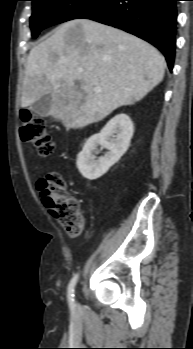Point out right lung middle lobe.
I'll return each mask as SVG.
<instances>
[{
    "instance_id": "right-lung-middle-lobe-1",
    "label": "right lung middle lobe",
    "mask_w": 193,
    "mask_h": 349,
    "mask_svg": "<svg viewBox=\"0 0 193 349\" xmlns=\"http://www.w3.org/2000/svg\"><path fill=\"white\" fill-rule=\"evenodd\" d=\"M99 0H32L33 14L30 17L32 37L49 26L76 19Z\"/></svg>"
}]
</instances>
